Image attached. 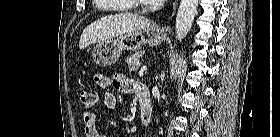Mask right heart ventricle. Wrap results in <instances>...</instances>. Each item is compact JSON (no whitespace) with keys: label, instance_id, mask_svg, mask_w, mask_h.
Returning a JSON list of instances; mask_svg holds the SVG:
<instances>
[{"label":"right heart ventricle","instance_id":"e07e8e85","mask_svg":"<svg viewBox=\"0 0 280 137\" xmlns=\"http://www.w3.org/2000/svg\"><path fill=\"white\" fill-rule=\"evenodd\" d=\"M96 2H102V1H106V0H95ZM120 2H127V0H119ZM121 11H130L131 9L128 7H122L120 8Z\"/></svg>","mask_w":280,"mask_h":137}]
</instances>
